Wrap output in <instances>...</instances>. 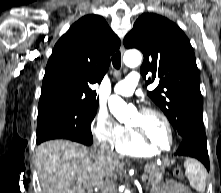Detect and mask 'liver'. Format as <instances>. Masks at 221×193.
<instances>
[{
	"label": "liver",
	"mask_w": 221,
	"mask_h": 193,
	"mask_svg": "<svg viewBox=\"0 0 221 193\" xmlns=\"http://www.w3.org/2000/svg\"><path fill=\"white\" fill-rule=\"evenodd\" d=\"M42 193H85L101 185L119 165L109 151L87 148L69 140H51L36 149Z\"/></svg>",
	"instance_id": "obj_1"
}]
</instances>
